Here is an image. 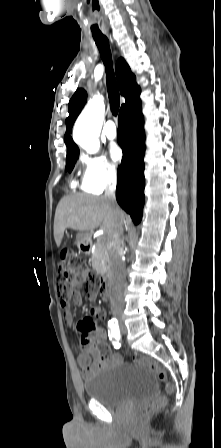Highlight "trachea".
Here are the masks:
<instances>
[{
  "label": "trachea",
  "instance_id": "1",
  "mask_svg": "<svg viewBox=\"0 0 221 448\" xmlns=\"http://www.w3.org/2000/svg\"><path fill=\"white\" fill-rule=\"evenodd\" d=\"M95 43L100 51L101 58L105 65L106 69V82H107V91L110 102L111 112L114 116H117L120 106V94L118 85L115 79L113 64H112V55L109 47V41L107 37L103 35H94L93 36Z\"/></svg>",
  "mask_w": 221,
  "mask_h": 448
}]
</instances>
